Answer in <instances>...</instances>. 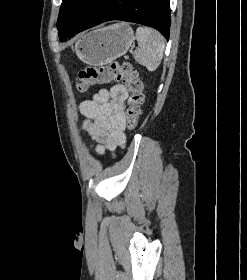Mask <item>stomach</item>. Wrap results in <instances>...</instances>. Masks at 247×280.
Here are the masks:
<instances>
[{
  "mask_svg": "<svg viewBox=\"0 0 247 280\" xmlns=\"http://www.w3.org/2000/svg\"><path fill=\"white\" fill-rule=\"evenodd\" d=\"M134 39L133 30L127 23H116L85 33L74 50L84 63L100 66L126 54Z\"/></svg>",
  "mask_w": 247,
  "mask_h": 280,
  "instance_id": "obj_1",
  "label": "stomach"
}]
</instances>
